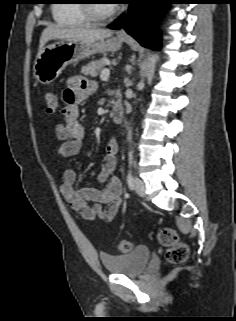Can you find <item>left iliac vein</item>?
I'll use <instances>...</instances> for the list:
<instances>
[{
	"label": "left iliac vein",
	"instance_id": "obj_1",
	"mask_svg": "<svg viewBox=\"0 0 236 321\" xmlns=\"http://www.w3.org/2000/svg\"><path fill=\"white\" fill-rule=\"evenodd\" d=\"M134 189L139 196L141 197L145 196V191H146L145 185L143 181L138 177L134 178Z\"/></svg>",
	"mask_w": 236,
	"mask_h": 321
}]
</instances>
